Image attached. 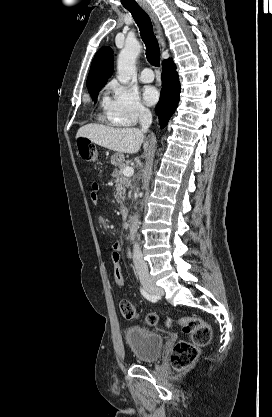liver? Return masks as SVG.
Returning <instances> with one entry per match:
<instances>
[{
	"instance_id": "obj_1",
	"label": "liver",
	"mask_w": 272,
	"mask_h": 417,
	"mask_svg": "<svg viewBox=\"0 0 272 417\" xmlns=\"http://www.w3.org/2000/svg\"><path fill=\"white\" fill-rule=\"evenodd\" d=\"M85 137L92 142L107 149L135 154L139 151L143 140L144 131L138 128H114L100 124H87L79 128L76 138ZM148 142L144 144L147 151Z\"/></svg>"
}]
</instances>
